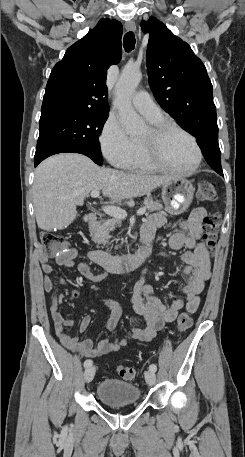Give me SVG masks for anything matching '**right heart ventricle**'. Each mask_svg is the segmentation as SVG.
<instances>
[{"instance_id": "e07e8e85", "label": "right heart ventricle", "mask_w": 245, "mask_h": 457, "mask_svg": "<svg viewBox=\"0 0 245 457\" xmlns=\"http://www.w3.org/2000/svg\"><path fill=\"white\" fill-rule=\"evenodd\" d=\"M154 121L155 123L156 122H159V121H162L161 118H157L155 120H152ZM134 142V148H133V151L132 153L130 154V156L125 159L120 165L123 167V168H126V169H137V170H147V169H150L149 166H147L143 160L141 159L140 155H139V152H138V142L137 141H133Z\"/></svg>"}]
</instances>
